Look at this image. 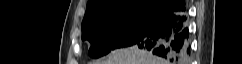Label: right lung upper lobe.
Returning a JSON list of instances; mask_svg holds the SVG:
<instances>
[{"instance_id": "right-lung-upper-lobe-1", "label": "right lung upper lobe", "mask_w": 242, "mask_h": 64, "mask_svg": "<svg viewBox=\"0 0 242 64\" xmlns=\"http://www.w3.org/2000/svg\"><path fill=\"white\" fill-rule=\"evenodd\" d=\"M174 0H89L82 24L107 14L134 9L164 12Z\"/></svg>"}]
</instances>
